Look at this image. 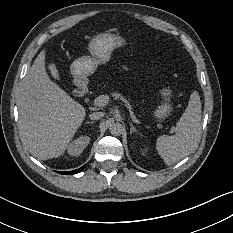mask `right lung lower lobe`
I'll return each instance as SVG.
<instances>
[{
	"label": "right lung lower lobe",
	"instance_id": "98d812e1",
	"mask_svg": "<svg viewBox=\"0 0 233 233\" xmlns=\"http://www.w3.org/2000/svg\"><path fill=\"white\" fill-rule=\"evenodd\" d=\"M83 168H84V166H83V167H81V168H79V169H77V170H74V171H69V172H59V173H60V174H74V173H78V172H80Z\"/></svg>",
	"mask_w": 233,
	"mask_h": 233
}]
</instances>
